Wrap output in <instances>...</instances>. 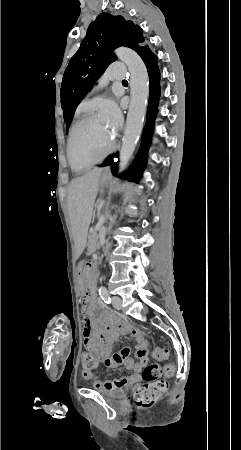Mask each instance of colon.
Masks as SVG:
<instances>
[{"instance_id":"colon-1","label":"colon","mask_w":241,"mask_h":450,"mask_svg":"<svg viewBox=\"0 0 241 450\" xmlns=\"http://www.w3.org/2000/svg\"><path fill=\"white\" fill-rule=\"evenodd\" d=\"M84 363L82 364V369L84 371H93L95 366L98 365V358L92 357L89 350H82L80 353ZM152 356L156 360H164L168 357V350L165 348L154 347L152 349ZM174 365L172 363H167L165 365V374L167 376H172L174 374ZM159 376V367L157 364H149L144 367L142 372V377L145 381L154 382ZM168 388L167 382L158 381L153 384L141 385L137 391L134 393V404L137 409L148 410L154 407L162 392Z\"/></svg>"}]
</instances>
